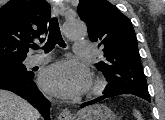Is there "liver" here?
<instances>
[{"label":"liver","instance_id":"obj_1","mask_svg":"<svg viewBox=\"0 0 165 120\" xmlns=\"http://www.w3.org/2000/svg\"><path fill=\"white\" fill-rule=\"evenodd\" d=\"M39 112L16 94L0 90V120H38Z\"/></svg>","mask_w":165,"mask_h":120}]
</instances>
